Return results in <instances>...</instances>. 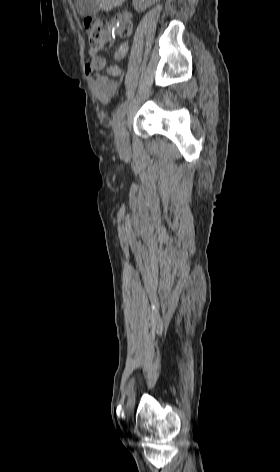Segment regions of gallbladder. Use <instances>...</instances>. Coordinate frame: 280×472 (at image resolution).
Here are the masks:
<instances>
[{
  "label": "gallbladder",
  "mask_w": 280,
  "mask_h": 472,
  "mask_svg": "<svg viewBox=\"0 0 280 472\" xmlns=\"http://www.w3.org/2000/svg\"><path fill=\"white\" fill-rule=\"evenodd\" d=\"M75 6L82 17L94 16L99 11L96 0H75Z\"/></svg>",
  "instance_id": "gallbladder-1"
}]
</instances>
